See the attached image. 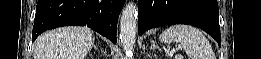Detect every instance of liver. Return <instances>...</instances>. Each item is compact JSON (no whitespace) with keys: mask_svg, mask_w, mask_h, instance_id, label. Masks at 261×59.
<instances>
[{"mask_svg":"<svg viewBox=\"0 0 261 59\" xmlns=\"http://www.w3.org/2000/svg\"><path fill=\"white\" fill-rule=\"evenodd\" d=\"M93 44L87 27L68 26L41 34L34 45V59H85Z\"/></svg>","mask_w":261,"mask_h":59,"instance_id":"liver-1","label":"liver"}]
</instances>
